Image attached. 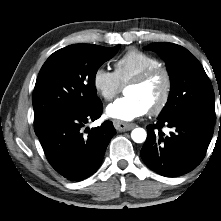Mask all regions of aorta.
Masks as SVG:
<instances>
[{
  "instance_id": "obj_1",
  "label": "aorta",
  "mask_w": 221,
  "mask_h": 221,
  "mask_svg": "<svg viewBox=\"0 0 221 221\" xmlns=\"http://www.w3.org/2000/svg\"><path fill=\"white\" fill-rule=\"evenodd\" d=\"M147 133L143 128H135L131 132V138L136 143H142L146 140Z\"/></svg>"
}]
</instances>
